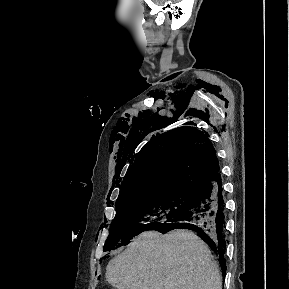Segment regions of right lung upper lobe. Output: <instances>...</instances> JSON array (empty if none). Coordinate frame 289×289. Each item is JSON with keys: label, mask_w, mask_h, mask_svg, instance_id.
<instances>
[{"label": "right lung upper lobe", "mask_w": 289, "mask_h": 289, "mask_svg": "<svg viewBox=\"0 0 289 289\" xmlns=\"http://www.w3.org/2000/svg\"><path fill=\"white\" fill-rule=\"evenodd\" d=\"M219 170L207 133L179 127L143 147L123 179L116 203L168 191L197 193L220 178Z\"/></svg>", "instance_id": "right-lung-upper-lobe-1"}]
</instances>
